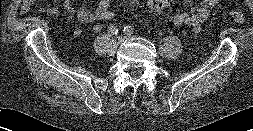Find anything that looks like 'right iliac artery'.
Listing matches in <instances>:
<instances>
[{
    "mask_svg": "<svg viewBox=\"0 0 253 131\" xmlns=\"http://www.w3.org/2000/svg\"><path fill=\"white\" fill-rule=\"evenodd\" d=\"M108 33L113 34V35H117V33H118L117 27L115 25H110L108 27Z\"/></svg>",
    "mask_w": 253,
    "mask_h": 131,
    "instance_id": "obj_1",
    "label": "right iliac artery"
}]
</instances>
